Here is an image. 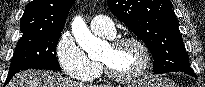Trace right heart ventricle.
<instances>
[{"instance_id": "e07e8e85", "label": "right heart ventricle", "mask_w": 205, "mask_h": 87, "mask_svg": "<svg viewBox=\"0 0 205 87\" xmlns=\"http://www.w3.org/2000/svg\"><path fill=\"white\" fill-rule=\"evenodd\" d=\"M103 36V35H102ZM106 37V36H105ZM94 63H96V62H94ZM97 64V63H96ZM97 66H98V71L96 72V74L95 75H93V76H90V77H88V78H85V79H83V80H87V81H93V80H95V79H97L98 77H99V75H100V73H101V68H100V66L97 64Z\"/></svg>"}]
</instances>
